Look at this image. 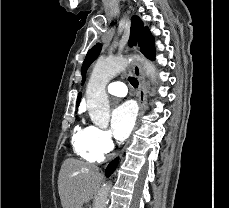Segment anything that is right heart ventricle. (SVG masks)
Segmentation results:
<instances>
[{
  "mask_svg": "<svg viewBox=\"0 0 229 208\" xmlns=\"http://www.w3.org/2000/svg\"><path fill=\"white\" fill-rule=\"evenodd\" d=\"M91 131L92 126L86 128L77 126L72 135V147L74 152L82 159L95 162L102 158V154L91 144Z\"/></svg>",
  "mask_w": 229,
  "mask_h": 208,
  "instance_id": "1",
  "label": "right heart ventricle"
}]
</instances>
